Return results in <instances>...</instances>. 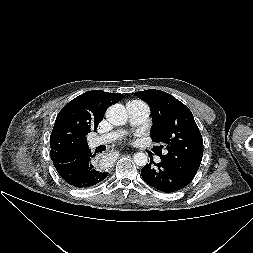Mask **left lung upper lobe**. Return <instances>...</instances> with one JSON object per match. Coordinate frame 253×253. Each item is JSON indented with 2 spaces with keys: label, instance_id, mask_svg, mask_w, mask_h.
<instances>
[{
  "label": "left lung upper lobe",
  "instance_id": "1",
  "mask_svg": "<svg viewBox=\"0 0 253 253\" xmlns=\"http://www.w3.org/2000/svg\"><path fill=\"white\" fill-rule=\"evenodd\" d=\"M150 106L151 139L160 143L154 151L162 161L194 178L203 156V139L189 108L172 95L155 89L136 92ZM167 150L162 154V149Z\"/></svg>",
  "mask_w": 253,
  "mask_h": 253
}]
</instances>
